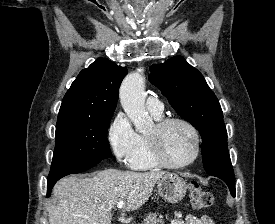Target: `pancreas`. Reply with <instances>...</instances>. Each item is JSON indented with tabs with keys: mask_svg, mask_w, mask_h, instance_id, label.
Masks as SVG:
<instances>
[{
	"mask_svg": "<svg viewBox=\"0 0 275 224\" xmlns=\"http://www.w3.org/2000/svg\"><path fill=\"white\" fill-rule=\"evenodd\" d=\"M143 224H164V221L161 214L149 213L144 219Z\"/></svg>",
	"mask_w": 275,
	"mask_h": 224,
	"instance_id": "cf45deb5",
	"label": "pancreas"
}]
</instances>
